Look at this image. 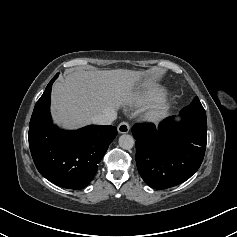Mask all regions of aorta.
Listing matches in <instances>:
<instances>
[{
  "mask_svg": "<svg viewBox=\"0 0 237 237\" xmlns=\"http://www.w3.org/2000/svg\"><path fill=\"white\" fill-rule=\"evenodd\" d=\"M135 144L134 138L129 134H123L119 137V146L122 149L130 150Z\"/></svg>",
  "mask_w": 237,
  "mask_h": 237,
  "instance_id": "obj_1",
  "label": "aorta"
}]
</instances>
